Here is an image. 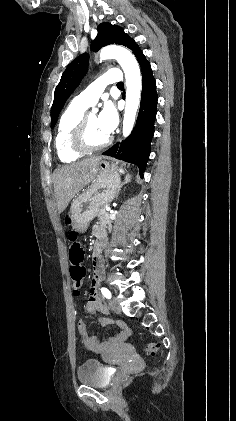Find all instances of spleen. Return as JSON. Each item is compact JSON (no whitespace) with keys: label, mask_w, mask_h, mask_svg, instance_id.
<instances>
[{"label":"spleen","mask_w":236,"mask_h":421,"mask_svg":"<svg viewBox=\"0 0 236 421\" xmlns=\"http://www.w3.org/2000/svg\"><path fill=\"white\" fill-rule=\"evenodd\" d=\"M121 172H124L123 168H121Z\"/></svg>","instance_id":"obj_1"}]
</instances>
